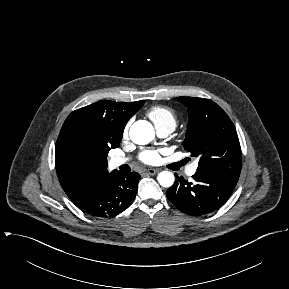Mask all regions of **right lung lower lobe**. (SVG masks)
Wrapping results in <instances>:
<instances>
[{
  "mask_svg": "<svg viewBox=\"0 0 289 289\" xmlns=\"http://www.w3.org/2000/svg\"><path fill=\"white\" fill-rule=\"evenodd\" d=\"M140 175L114 170L100 177L81 193L71 198L82 211L95 217H114L133 202Z\"/></svg>",
  "mask_w": 289,
  "mask_h": 289,
  "instance_id": "98d812e1",
  "label": "right lung lower lobe"
}]
</instances>
